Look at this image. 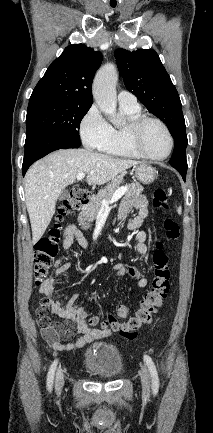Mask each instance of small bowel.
Returning a JSON list of instances; mask_svg holds the SVG:
<instances>
[{
    "label": "small bowel",
    "mask_w": 213,
    "mask_h": 433,
    "mask_svg": "<svg viewBox=\"0 0 213 433\" xmlns=\"http://www.w3.org/2000/svg\"><path fill=\"white\" fill-rule=\"evenodd\" d=\"M136 209L137 213L130 216V211ZM148 215V201L144 195H137L124 199L120 207L119 219L122 224H125L129 230H136V250L141 255L148 253L147 234L139 228L143 225ZM74 242L86 248L89 246L88 240L83 236L82 232L75 225H68L63 231V248L69 251ZM70 267V262H59L56 271L45 278L41 287L40 293L44 296V301L49 307L53 316L66 320L71 323L73 332L68 337L61 336L54 328L42 329L41 334L45 341L55 350H74L83 348L95 340L111 337L113 331L110 329H95L86 324L76 323L77 311L74 307L61 304L59 299L55 297V275L64 272ZM114 269L118 275H129L136 280V285L139 288H144L148 284V278L141 275L140 270L135 266L116 264ZM72 299H76L73 295ZM75 334L81 336L74 342L62 344L60 338H69Z\"/></svg>",
    "instance_id": "obj_1"
}]
</instances>
